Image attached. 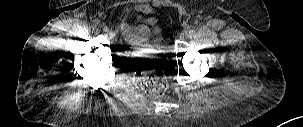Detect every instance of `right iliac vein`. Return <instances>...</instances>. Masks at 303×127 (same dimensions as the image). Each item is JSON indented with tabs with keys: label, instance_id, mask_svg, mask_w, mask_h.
I'll return each instance as SVG.
<instances>
[{
	"label": "right iliac vein",
	"instance_id": "obj_1",
	"mask_svg": "<svg viewBox=\"0 0 303 127\" xmlns=\"http://www.w3.org/2000/svg\"><path fill=\"white\" fill-rule=\"evenodd\" d=\"M99 27L102 28L106 32L108 31L107 27L104 26V24H99Z\"/></svg>",
	"mask_w": 303,
	"mask_h": 127
}]
</instances>
